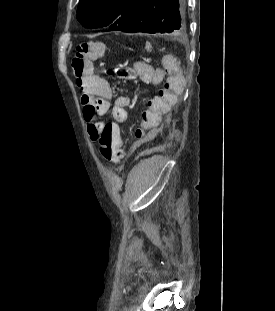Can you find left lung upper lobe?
Here are the masks:
<instances>
[{"instance_id":"1","label":"left lung upper lobe","mask_w":275,"mask_h":311,"mask_svg":"<svg viewBox=\"0 0 275 311\" xmlns=\"http://www.w3.org/2000/svg\"><path fill=\"white\" fill-rule=\"evenodd\" d=\"M143 0H80L77 19L88 28L109 26L114 31L131 17Z\"/></svg>"}]
</instances>
